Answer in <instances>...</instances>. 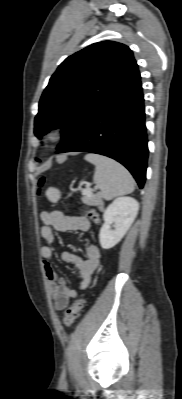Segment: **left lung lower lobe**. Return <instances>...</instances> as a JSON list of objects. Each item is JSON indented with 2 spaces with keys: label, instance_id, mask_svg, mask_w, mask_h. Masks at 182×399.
I'll use <instances>...</instances> for the list:
<instances>
[{
  "label": "left lung lower lobe",
  "instance_id": "0a47b994",
  "mask_svg": "<svg viewBox=\"0 0 182 399\" xmlns=\"http://www.w3.org/2000/svg\"><path fill=\"white\" fill-rule=\"evenodd\" d=\"M147 142L139 73L104 104L84 131L62 152H91L113 158L123 164L143 188Z\"/></svg>",
  "mask_w": 182,
  "mask_h": 399
}]
</instances>
